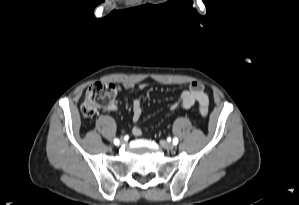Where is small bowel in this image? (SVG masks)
<instances>
[{"instance_id":"c3829d8e","label":"small bowel","mask_w":299,"mask_h":205,"mask_svg":"<svg viewBox=\"0 0 299 205\" xmlns=\"http://www.w3.org/2000/svg\"><path fill=\"white\" fill-rule=\"evenodd\" d=\"M135 85L127 83L124 85L125 88H133ZM139 88L141 90L146 88V84H140ZM198 103L199 105H204L208 107L209 99L207 94L204 91V86L197 81H192L189 85V88L184 90L179 100L171 105V110L176 109L178 106H181L185 109L192 107L194 104ZM110 110H116V105H111L108 107ZM142 100L140 98L134 99L132 103V119L134 122H138L142 116ZM132 134L136 137L141 136L142 130L139 126H134L132 128Z\"/></svg>"}]
</instances>
